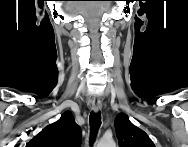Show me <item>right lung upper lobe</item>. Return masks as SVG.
Here are the masks:
<instances>
[{"mask_svg": "<svg viewBox=\"0 0 188 147\" xmlns=\"http://www.w3.org/2000/svg\"><path fill=\"white\" fill-rule=\"evenodd\" d=\"M81 131L70 112L44 128L28 144L29 147H79Z\"/></svg>", "mask_w": 188, "mask_h": 147, "instance_id": "1", "label": "right lung upper lobe"}]
</instances>
